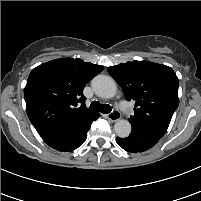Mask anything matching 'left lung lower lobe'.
I'll return each instance as SVG.
<instances>
[{"mask_svg": "<svg viewBox=\"0 0 201 201\" xmlns=\"http://www.w3.org/2000/svg\"><path fill=\"white\" fill-rule=\"evenodd\" d=\"M165 132L157 128L132 126L131 134L126 138L117 137L116 142L128 152H143L152 148Z\"/></svg>", "mask_w": 201, "mask_h": 201, "instance_id": "left-lung-lower-lobe-1", "label": "left lung lower lobe"}]
</instances>
